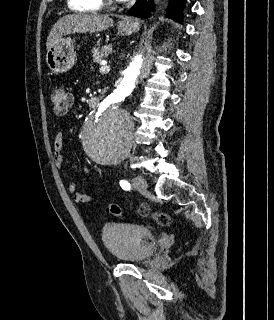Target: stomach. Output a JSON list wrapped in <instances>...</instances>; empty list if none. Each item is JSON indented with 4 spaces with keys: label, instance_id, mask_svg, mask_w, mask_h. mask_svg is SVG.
<instances>
[{
    "label": "stomach",
    "instance_id": "obj_1",
    "mask_svg": "<svg viewBox=\"0 0 274 320\" xmlns=\"http://www.w3.org/2000/svg\"><path fill=\"white\" fill-rule=\"evenodd\" d=\"M122 20H126L128 24L127 26H118V32L121 36H131L140 30V24L136 20H128V18H122ZM76 60L75 46L71 38H61L47 50L46 62L53 74L68 72L76 64Z\"/></svg>",
    "mask_w": 274,
    "mask_h": 320
}]
</instances>
